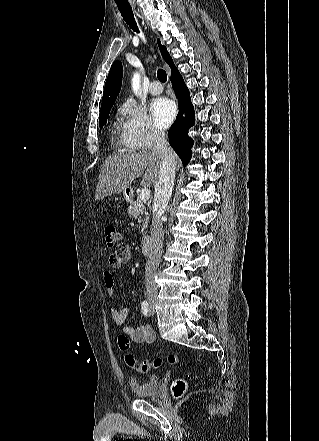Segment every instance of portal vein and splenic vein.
I'll list each match as a JSON object with an SVG mask.
<instances>
[{"instance_id":"1","label":"portal vein and splenic vein","mask_w":319,"mask_h":441,"mask_svg":"<svg viewBox=\"0 0 319 441\" xmlns=\"http://www.w3.org/2000/svg\"><path fill=\"white\" fill-rule=\"evenodd\" d=\"M139 198L141 199L142 202L148 201L150 198V190L148 188H144L141 191Z\"/></svg>"}]
</instances>
